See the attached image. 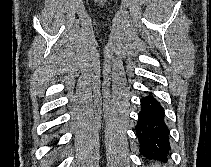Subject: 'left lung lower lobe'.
<instances>
[{"label":"left lung lower lobe","mask_w":211,"mask_h":167,"mask_svg":"<svg viewBox=\"0 0 211 167\" xmlns=\"http://www.w3.org/2000/svg\"><path fill=\"white\" fill-rule=\"evenodd\" d=\"M136 135L143 156L167 160L170 144L164 110L160 102L151 94L141 99Z\"/></svg>","instance_id":"1"}]
</instances>
